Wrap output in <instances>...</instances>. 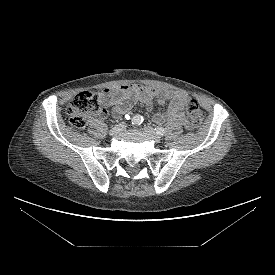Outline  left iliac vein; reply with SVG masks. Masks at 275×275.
I'll return each instance as SVG.
<instances>
[{
    "label": "left iliac vein",
    "instance_id": "obj_1",
    "mask_svg": "<svg viewBox=\"0 0 275 275\" xmlns=\"http://www.w3.org/2000/svg\"><path fill=\"white\" fill-rule=\"evenodd\" d=\"M143 130L154 142L159 143L161 141V137L152 127L144 126Z\"/></svg>",
    "mask_w": 275,
    "mask_h": 275
}]
</instances>
